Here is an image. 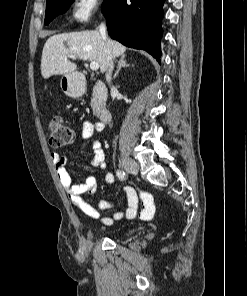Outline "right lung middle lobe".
I'll list each match as a JSON object with an SVG mask.
<instances>
[{"mask_svg": "<svg viewBox=\"0 0 247 296\" xmlns=\"http://www.w3.org/2000/svg\"><path fill=\"white\" fill-rule=\"evenodd\" d=\"M111 0H105L103 10L108 6ZM73 0H47L45 12V24H49L57 15L67 11Z\"/></svg>", "mask_w": 247, "mask_h": 296, "instance_id": "right-lung-middle-lobe-1", "label": "right lung middle lobe"}]
</instances>
